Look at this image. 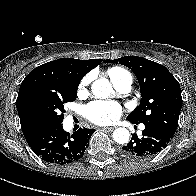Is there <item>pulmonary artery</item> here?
I'll return each mask as SVG.
<instances>
[{
  "instance_id": "pulmonary-artery-1",
  "label": "pulmonary artery",
  "mask_w": 196,
  "mask_h": 196,
  "mask_svg": "<svg viewBox=\"0 0 196 196\" xmlns=\"http://www.w3.org/2000/svg\"><path fill=\"white\" fill-rule=\"evenodd\" d=\"M131 84L132 78L129 75L123 80L119 81L117 84H115V87L120 93H127L131 89ZM141 129H144V126H142Z\"/></svg>"
}]
</instances>
